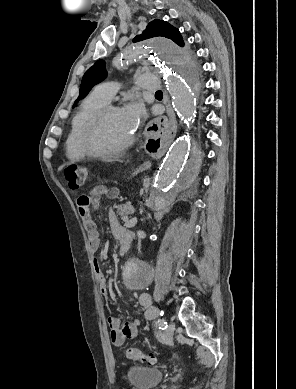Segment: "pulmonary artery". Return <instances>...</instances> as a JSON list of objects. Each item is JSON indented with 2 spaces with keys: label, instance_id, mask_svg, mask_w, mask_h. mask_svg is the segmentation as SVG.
Listing matches in <instances>:
<instances>
[{
  "label": "pulmonary artery",
  "instance_id": "1",
  "mask_svg": "<svg viewBox=\"0 0 296 389\" xmlns=\"http://www.w3.org/2000/svg\"><path fill=\"white\" fill-rule=\"evenodd\" d=\"M137 84L147 90H156L158 88V80L152 74L139 77ZM118 89L119 85L116 82L108 81L97 84L93 89V93L108 103L117 93Z\"/></svg>",
  "mask_w": 296,
  "mask_h": 389
}]
</instances>
